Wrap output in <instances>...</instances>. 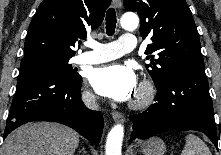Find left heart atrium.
Segmentation results:
<instances>
[{
    "label": "left heart atrium",
    "instance_id": "obj_1",
    "mask_svg": "<svg viewBox=\"0 0 221 155\" xmlns=\"http://www.w3.org/2000/svg\"><path fill=\"white\" fill-rule=\"evenodd\" d=\"M90 82L96 92L116 101H126L137 92V78L125 65L112 64L95 69Z\"/></svg>",
    "mask_w": 221,
    "mask_h": 155
}]
</instances>
